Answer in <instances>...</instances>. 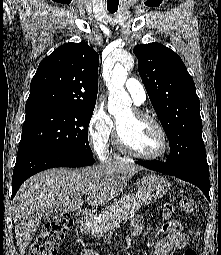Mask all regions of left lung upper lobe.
Here are the masks:
<instances>
[{"instance_id": "5c2ea615", "label": "left lung upper lobe", "mask_w": 221, "mask_h": 255, "mask_svg": "<svg viewBox=\"0 0 221 255\" xmlns=\"http://www.w3.org/2000/svg\"><path fill=\"white\" fill-rule=\"evenodd\" d=\"M138 71L170 144L166 163L180 167L206 160L200 101L181 58L160 43L135 46Z\"/></svg>"}]
</instances>
